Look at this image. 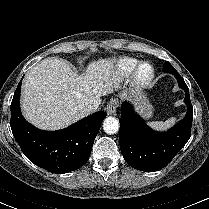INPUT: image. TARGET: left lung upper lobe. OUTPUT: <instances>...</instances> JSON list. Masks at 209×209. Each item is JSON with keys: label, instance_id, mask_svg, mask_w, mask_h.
Instances as JSON below:
<instances>
[{"label": "left lung upper lobe", "instance_id": "left-lung-upper-lobe-1", "mask_svg": "<svg viewBox=\"0 0 209 209\" xmlns=\"http://www.w3.org/2000/svg\"><path fill=\"white\" fill-rule=\"evenodd\" d=\"M163 70H164V72H168L171 74H173L174 72H177L175 70V68L168 61H165L164 65H163Z\"/></svg>", "mask_w": 209, "mask_h": 209}]
</instances>
